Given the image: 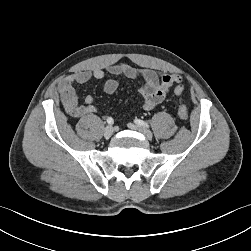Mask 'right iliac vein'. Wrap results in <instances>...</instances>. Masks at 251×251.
<instances>
[{"mask_svg": "<svg viewBox=\"0 0 251 251\" xmlns=\"http://www.w3.org/2000/svg\"><path fill=\"white\" fill-rule=\"evenodd\" d=\"M114 133V128L112 126H107L105 129H104V132H103V135L105 138H110Z\"/></svg>", "mask_w": 251, "mask_h": 251, "instance_id": "1", "label": "right iliac vein"}]
</instances>
